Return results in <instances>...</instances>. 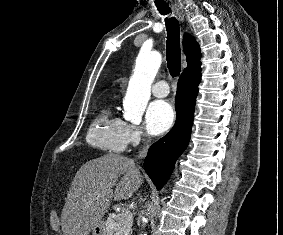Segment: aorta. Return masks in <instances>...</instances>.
<instances>
[{"mask_svg": "<svg viewBox=\"0 0 283 235\" xmlns=\"http://www.w3.org/2000/svg\"><path fill=\"white\" fill-rule=\"evenodd\" d=\"M162 63V56L157 51H141L136 59L125 98L123 117L127 121L140 123L150 99L151 85ZM142 235V234H141ZM143 235H146L144 233Z\"/></svg>", "mask_w": 283, "mask_h": 235, "instance_id": "762f6f07", "label": "aorta"}]
</instances>
